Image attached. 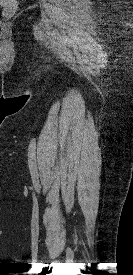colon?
I'll return each instance as SVG.
<instances>
[{
	"label": "colon",
	"instance_id": "obj_1",
	"mask_svg": "<svg viewBox=\"0 0 133 275\" xmlns=\"http://www.w3.org/2000/svg\"><path fill=\"white\" fill-rule=\"evenodd\" d=\"M2 8H3V15L5 16L13 15L17 10L16 0H3Z\"/></svg>",
	"mask_w": 133,
	"mask_h": 275
}]
</instances>
